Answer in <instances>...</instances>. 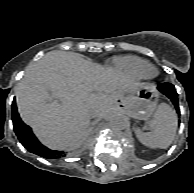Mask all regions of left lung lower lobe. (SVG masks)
I'll list each match as a JSON object with an SVG mask.
<instances>
[{
	"label": "left lung lower lobe",
	"instance_id": "0a47b994",
	"mask_svg": "<svg viewBox=\"0 0 194 193\" xmlns=\"http://www.w3.org/2000/svg\"><path fill=\"white\" fill-rule=\"evenodd\" d=\"M158 89L165 94L168 98L171 99L172 103L174 104L177 113H180L179 111V105H178V99H177V93L174 88V85L170 83H161L158 85Z\"/></svg>",
	"mask_w": 194,
	"mask_h": 193
}]
</instances>
